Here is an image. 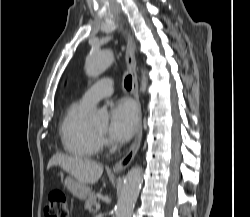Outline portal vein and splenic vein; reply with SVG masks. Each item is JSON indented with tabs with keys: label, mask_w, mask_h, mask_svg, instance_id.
<instances>
[{
	"label": "portal vein and splenic vein",
	"mask_w": 250,
	"mask_h": 217,
	"mask_svg": "<svg viewBox=\"0 0 250 217\" xmlns=\"http://www.w3.org/2000/svg\"><path fill=\"white\" fill-rule=\"evenodd\" d=\"M95 207H96V210H99L100 209V204L96 203Z\"/></svg>",
	"instance_id": "portal-vein-and-splenic-vein-1"
}]
</instances>
